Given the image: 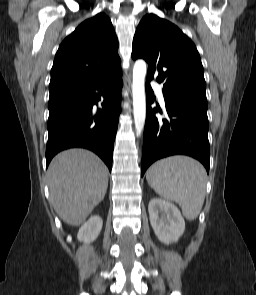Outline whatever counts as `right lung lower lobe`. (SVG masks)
<instances>
[{"label": "right lung lower lobe", "mask_w": 256, "mask_h": 295, "mask_svg": "<svg viewBox=\"0 0 256 295\" xmlns=\"http://www.w3.org/2000/svg\"><path fill=\"white\" fill-rule=\"evenodd\" d=\"M122 85L120 70L50 93L46 167L58 152L82 147L100 156L111 171ZM101 97L104 102L96 110Z\"/></svg>", "instance_id": "1"}]
</instances>
